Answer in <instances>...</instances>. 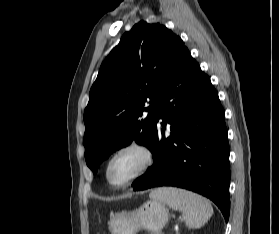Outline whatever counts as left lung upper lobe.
Returning <instances> with one entry per match:
<instances>
[{"label": "left lung upper lobe", "instance_id": "left-lung-upper-lobe-1", "mask_svg": "<svg viewBox=\"0 0 279 234\" xmlns=\"http://www.w3.org/2000/svg\"><path fill=\"white\" fill-rule=\"evenodd\" d=\"M183 47L164 25L140 21L104 60L84 111L85 159L93 173L133 140L153 150L159 95Z\"/></svg>", "mask_w": 279, "mask_h": 234}]
</instances>
